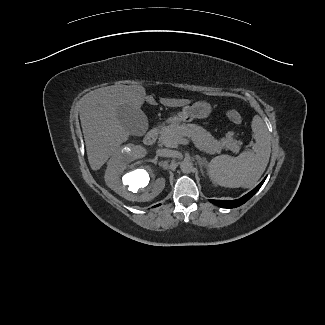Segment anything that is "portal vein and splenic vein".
<instances>
[{
	"instance_id": "18ae733b",
	"label": "portal vein and splenic vein",
	"mask_w": 325,
	"mask_h": 325,
	"mask_svg": "<svg viewBox=\"0 0 325 325\" xmlns=\"http://www.w3.org/2000/svg\"><path fill=\"white\" fill-rule=\"evenodd\" d=\"M188 143H189L188 139H185V138H180L175 141V144H184L185 145Z\"/></svg>"
}]
</instances>
